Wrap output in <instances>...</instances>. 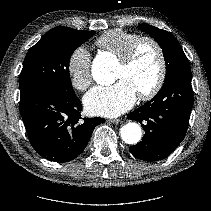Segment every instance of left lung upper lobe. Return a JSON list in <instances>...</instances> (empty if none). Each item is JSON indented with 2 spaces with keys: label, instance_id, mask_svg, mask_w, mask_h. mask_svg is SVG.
I'll return each mask as SVG.
<instances>
[{
  "label": "left lung upper lobe",
  "instance_id": "5c2ea615",
  "mask_svg": "<svg viewBox=\"0 0 211 211\" xmlns=\"http://www.w3.org/2000/svg\"><path fill=\"white\" fill-rule=\"evenodd\" d=\"M138 28L148 33L161 46L167 70L165 81L177 73L191 71L189 61L181 45L170 32L149 24H141Z\"/></svg>",
  "mask_w": 211,
  "mask_h": 211
}]
</instances>
